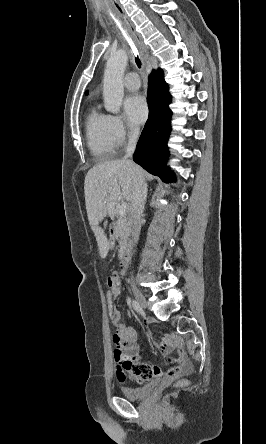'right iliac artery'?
Returning <instances> with one entry per match:
<instances>
[{"mask_svg":"<svg viewBox=\"0 0 266 444\" xmlns=\"http://www.w3.org/2000/svg\"><path fill=\"white\" fill-rule=\"evenodd\" d=\"M132 306H133V309L135 310V311H139L140 310V306H139V304L136 302V301H133L132 302Z\"/></svg>","mask_w":266,"mask_h":444,"instance_id":"obj_1","label":"right iliac artery"}]
</instances>
